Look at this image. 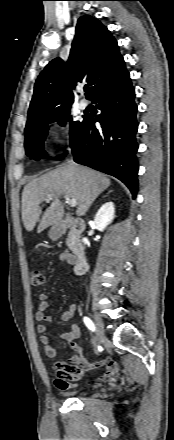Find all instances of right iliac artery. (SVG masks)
Wrapping results in <instances>:
<instances>
[{"label":"right iliac artery","mask_w":174,"mask_h":440,"mask_svg":"<svg viewBox=\"0 0 174 440\" xmlns=\"http://www.w3.org/2000/svg\"><path fill=\"white\" fill-rule=\"evenodd\" d=\"M85 325L91 330V331H95V326L94 323L88 318V317H84L83 318Z\"/></svg>","instance_id":"right-iliac-artery-1"}]
</instances>
